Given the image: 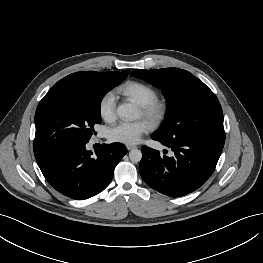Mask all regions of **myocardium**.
Returning <instances> with one entry per match:
<instances>
[{
	"instance_id": "f54148a6",
	"label": "myocardium",
	"mask_w": 263,
	"mask_h": 263,
	"mask_svg": "<svg viewBox=\"0 0 263 263\" xmlns=\"http://www.w3.org/2000/svg\"><path fill=\"white\" fill-rule=\"evenodd\" d=\"M139 110L143 118L152 125H157L167 114L168 102L165 98L156 97L144 105H139Z\"/></svg>"
}]
</instances>
